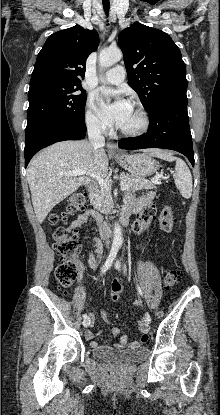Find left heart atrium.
Here are the masks:
<instances>
[{
  "mask_svg": "<svg viewBox=\"0 0 220 415\" xmlns=\"http://www.w3.org/2000/svg\"><path fill=\"white\" fill-rule=\"evenodd\" d=\"M96 98L100 116L120 126L130 112V102L119 91L112 89H100L97 91Z\"/></svg>",
  "mask_w": 220,
  "mask_h": 415,
  "instance_id": "left-heart-atrium-1",
  "label": "left heart atrium"
}]
</instances>
